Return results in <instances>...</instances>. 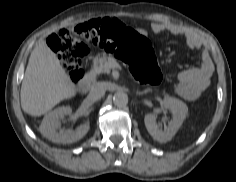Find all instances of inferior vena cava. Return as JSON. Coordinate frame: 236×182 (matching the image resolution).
<instances>
[{"instance_id": "obj_1", "label": "inferior vena cava", "mask_w": 236, "mask_h": 182, "mask_svg": "<svg viewBox=\"0 0 236 182\" xmlns=\"http://www.w3.org/2000/svg\"><path fill=\"white\" fill-rule=\"evenodd\" d=\"M106 92V86L104 82H96L92 85L90 90V96L94 99H99L104 96Z\"/></svg>"}]
</instances>
